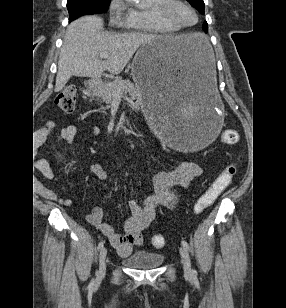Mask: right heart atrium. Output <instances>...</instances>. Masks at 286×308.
Segmentation results:
<instances>
[{"label":"right heart atrium","instance_id":"d8ad5b80","mask_svg":"<svg viewBox=\"0 0 286 308\" xmlns=\"http://www.w3.org/2000/svg\"><path fill=\"white\" fill-rule=\"evenodd\" d=\"M110 21L113 24L128 25L130 8L126 0H110L108 4Z\"/></svg>","mask_w":286,"mask_h":308}]
</instances>
